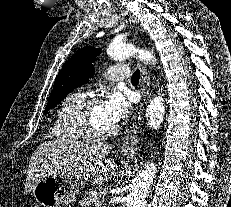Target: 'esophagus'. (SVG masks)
Here are the masks:
<instances>
[{"label":"esophagus","mask_w":231,"mask_h":207,"mask_svg":"<svg viewBox=\"0 0 231 207\" xmlns=\"http://www.w3.org/2000/svg\"><path fill=\"white\" fill-rule=\"evenodd\" d=\"M150 85V76L148 75L147 69L142 68V96L145 99L148 93V87ZM143 114V104L141 103L133 116L132 124L125 135L123 143L121 145V152L134 154L136 150V144L138 141V135L140 133V122Z\"/></svg>","instance_id":"1"}]
</instances>
